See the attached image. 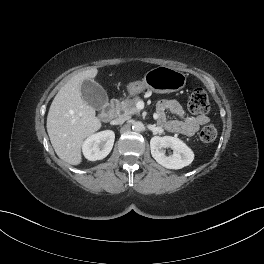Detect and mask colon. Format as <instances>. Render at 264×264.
<instances>
[{"label": "colon", "instance_id": "colon-1", "mask_svg": "<svg viewBox=\"0 0 264 264\" xmlns=\"http://www.w3.org/2000/svg\"><path fill=\"white\" fill-rule=\"evenodd\" d=\"M209 100L206 92L203 89H195L189 98L188 108L192 113L205 114L209 111ZM217 136V130L213 125H205L200 133L199 137L203 142H212Z\"/></svg>", "mask_w": 264, "mask_h": 264}]
</instances>
